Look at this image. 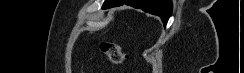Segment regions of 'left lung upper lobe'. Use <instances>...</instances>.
<instances>
[{
  "label": "left lung upper lobe",
  "mask_w": 244,
  "mask_h": 73,
  "mask_svg": "<svg viewBox=\"0 0 244 73\" xmlns=\"http://www.w3.org/2000/svg\"><path fill=\"white\" fill-rule=\"evenodd\" d=\"M106 1H107V0H105V2H104V4H103V5H105V4H106Z\"/></svg>",
  "instance_id": "1"
}]
</instances>
